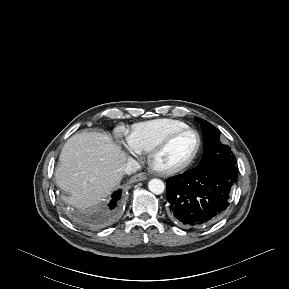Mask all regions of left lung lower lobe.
<instances>
[{"label": "left lung lower lobe", "mask_w": 289, "mask_h": 289, "mask_svg": "<svg viewBox=\"0 0 289 289\" xmlns=\"http://www.w3.org/2000/svg\"><path fill=\"white\" fill-rule=\"evenodd\" d=\"M237 179L235 165L195 167L166 180L170 219L181 226L200 227L216 221L229 205Z\"/></svg>", "instance_id": "0a47b994"}]
</instances>
